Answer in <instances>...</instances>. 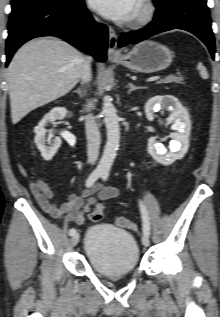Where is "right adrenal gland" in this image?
Here are the masks:
<instances>
[{
	"label": "right adrenal gland",
	"mask_w": 220,
	"mask_h": 317,
	"mask_svg": "<svg viewBox=\"0 0 220 317\" xmlns=\"http://www.w3.org/2000/svg\"><path fill=\"white\" fill-rule=\"evenodd\" d=\"M74 92L77 93L80 98L85 95V90H82L81 88L76 89Z\"/></svg>",
	"instance_id": "obj_1"
}]
</instances>
